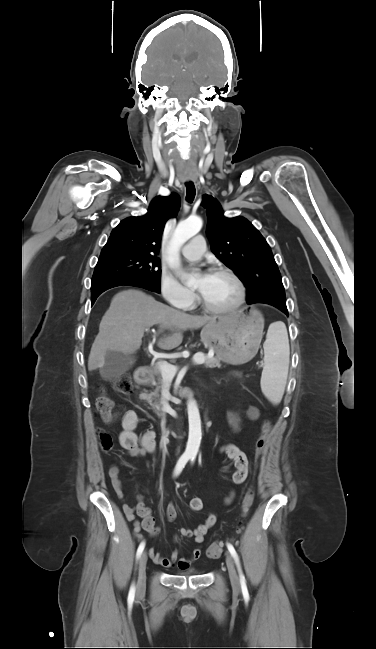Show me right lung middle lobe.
<instances>
[{"label":"right lung middle lobe","instance_id":"1","mask_svg":"<svg viewBox=\"0 0 376 649\" xmlns=\"http://www.w3.org/2000/svg\"><path fill=\"white\" fill-rule=\"evenodd\" d=\"M156 254V253H155ZM161 265L154 253L114 252L101 254L92 277V284L115 279L139 281L160 292Z\"/></svg>","mask_w":376,"mask_h":649}]
</instances>
